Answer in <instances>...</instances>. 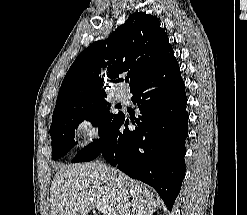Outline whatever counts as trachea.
<instances>
[{
  "label": "trachea",
  "mask_w": 247,
  "mask_h": 215,
  "mask_svg": "<svg viewBox=\"0 0 247 215\" xmlns=\"http://www.w3.org/2000/svg\"><path fill=\"white\" fill-rule=\"evenodd\" d=\"M125 81H126V82H128V79H127V78H125Z\"/></svg>",
  "instance_id": "3493384b"
}]
</instances>
